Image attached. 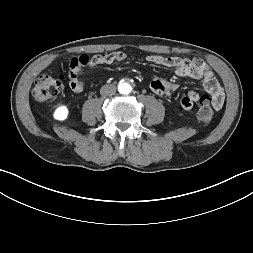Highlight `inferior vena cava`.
I'll return each instance as SVG.
<instances>
[{"label": "inferior vena cava", "instance_id": "obj_1", "mask_svg": "<svg viewBox=\"0 0 253 253\" xmlns=\"http://www.w3.org/2000/svg\"><path fill=\"white\" fill-rule=\"evenodd\" d=\"M116 92V87L112 84L109 85H104L101 89H100V94L102 96H112L114 95Z\"/></svg>", "mask_w": 253, "mask_h": 253}]
</instances>
